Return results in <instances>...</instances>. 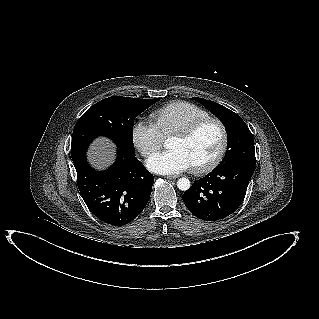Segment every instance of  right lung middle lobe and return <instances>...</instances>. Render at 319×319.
Masks as SVG:
<instances>
[{"label":"right lung middle lobe","mask_w":319,"mask_h":319,"mask_svg":"<svg viewBox=\"0 0 319 319\" xmlns=\"http://www.w3.org/2000/svg\"><path fill=\"white\" fill-rule=\"evenodd\" d=\"M158 100L114 96L94 104L74 127L71 153L87 148L97 136H107L126 155H135L132 139L134 120Z\"/></svg>","instance_id":"1"}]
</instances>
